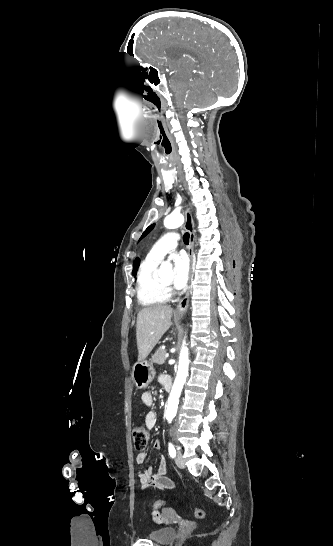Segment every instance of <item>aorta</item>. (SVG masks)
Here are the masks:
<instances>
[{"label":"aorta","instance_id":"obj_1","mask_svg":"<svg viewBox=\"0 0 333 546\" xmlns=\"http://www.w3.org/2000/svg\"><path fill=\"white\" fill-rule=\"evenodd\" d=\"M184 223V217L180 213H171L164 219V226L168 229H174L180 227ZM158 274L160 276H172V264L168 261H165L161 264ZM189 370V351L186 346V343H183V347L179 356V365L178 372L170 392L168 399L167 409H166V418L171 422L177 413V408L179 404V397L183 388V385L188 376Z\"/></svg>","mask_w":333,"mask_h":546}]
</instances>
